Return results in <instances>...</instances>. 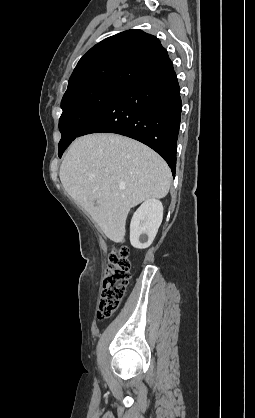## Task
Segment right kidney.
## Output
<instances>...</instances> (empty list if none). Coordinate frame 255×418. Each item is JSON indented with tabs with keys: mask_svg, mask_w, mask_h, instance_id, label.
I'll return each mask as SVG.
<instances>
[{
	"mask_svg": "<svg viewBox=\"0 0 255 418\" xmlns=\"http://www.w3.org/2000/svg\"><path fill=\"white\" fill-rule=\"evenodd\" d=\"M163 219L159 200L147 199L134 213L130 224V242L134 248L145 249L153 242Z\"/></svg>",
	"mask_w": 255,
	"mask_h": 418,
	"instance_id": "right-kidney-1",
	"label": "right kidney"
}]
</instances>
